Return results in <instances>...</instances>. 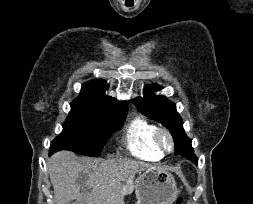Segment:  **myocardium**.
<instances>
[{"label":"myocardium","mask_w":253,"mask_h":204,"mask_svg":"<svg viewBox=\"0 0 253 204\" xmlns=\"http://www.w3.org/2000/svg\"><path fill=\"white\" fill-rule=\"evenodd\" d=\"M154 140L159 151L165 155L170 154L175 149V141L171 132L166 128H157L154 135ZM165 140L168 142V147L165 146Z\"/></svg>","instance_id":"myocardium-1"}]
</instances>
